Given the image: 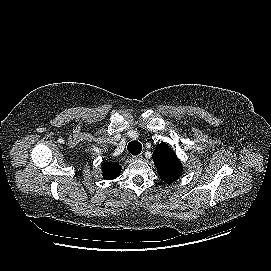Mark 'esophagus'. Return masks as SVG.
Instances as JSON below:
<instances>
[{
    "label": "esophagus",
    "mask_w": 271,
    "mask_h": 271,
    "mask_svg": "<svg viewBox=\"0 0 271 271\" xmlns=\"http://www.w3.org/2000/svg\"><path fill=\"white\" fill-rule=\"evenodd\" d=\"M132 158H133V160H141L142 155L141 154L133 155Z\"/></svg>",
    "instance_id": "esophagus-1"
}]
</instances>
